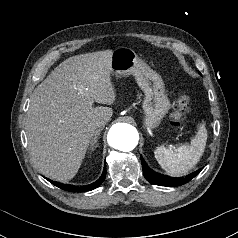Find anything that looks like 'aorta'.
Masks as SVG:
<instances>
[{"mask_svg": "<svg viewBox=\"0 0 238 238\" xmlns=\"http://www.w3.org/2000/svg\"><path fill=\"white\" fill-rule=\"evenodd\" d=\"M107 139L114 149L128 152L137 146L139 135L132 125L117 123L111 127Z\"/></svg>", "mask_w": 238, "mask_h": 238, "instance_id": "1", "label": "aorta"}]
</instances>
